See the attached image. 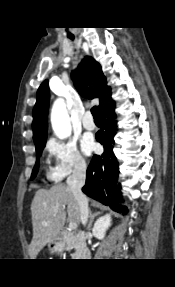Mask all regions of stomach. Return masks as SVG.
<instances>
[{
	"label": "stomach",
	"mask_w": 175,
	"mask_h": 287,
	"mask_svg": "<svg viewBox=\"0 0 175 287\" xmlns=\"http://www.w3.org/2000/svg\"><path fill=\"white\" fill-rule=\"evenodd\" d=\"M64 240L60 236L53 237L48 242V248L51 252L59 253L64 249Z\"/></svg>",
	"instance_id": "0dacf381"
}]
</instances>
